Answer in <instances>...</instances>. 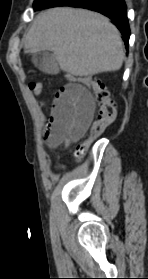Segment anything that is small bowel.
<instances>
[{
  "label": "small bowel",
  "instance_id": "small-bowel-1",
  "mask_svg": "<svg viewBox=\"0 0 148 279\" xmlns=\"http://www.w3.org/2000/svg\"><path fill=\"white\" fill-rule=\"evenodd\" d=\"M94 112V101L82 85H63L50 98V116L44 128V138L56 149L81 138L87 131Z\"/></svg>",
  "mask_w": 148,
  "mask_h": 279
}]
</instances>
